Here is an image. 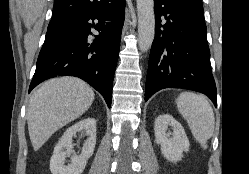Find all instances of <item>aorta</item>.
<instances>
[{"instance_id":"aorta-1","label":"aorta","mask_w":249,"mask_h":174,"mask_svg":"<svg viewBox=\"0 0 249 174\" xmlns=\"http://www.w3.org/2000/svg\"><path fill=\"white\" fill-rule=\"evenodd\" d=\"M138 45L147 52L155 36L154 0H137Z\"/></svg>"}]
</instances>
